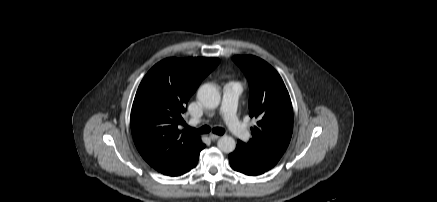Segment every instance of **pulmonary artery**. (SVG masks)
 I'll use <instances>...</instances> for the list:
<instances>
[{
    "instance_id": "1",
    "label": "pulmonary artery",
    "mask_w": 437,
    "mask_h": 202,
    "mask_svg": "<svg viewBox=\"0 0 437 202\" xmlns=\"http://www.w3.org/2000/svg\"><path fill=\"white\" fill-rule=\"evenodd\" d=\"M241 92L242 87L239 83H227L223 88L220 110L231 132L239 139L247 140L250 137V132L236 115L237 103Z\"/></svg>"
}]
</instances>
